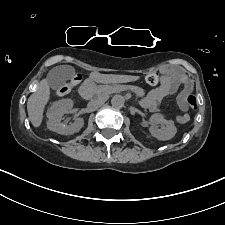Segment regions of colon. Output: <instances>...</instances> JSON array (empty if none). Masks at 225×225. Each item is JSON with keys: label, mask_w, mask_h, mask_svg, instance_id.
Segmentation results:
<instances>
[{"label": "colon", "mask_w": 225, "mask_h": 225, "mask_svg": "<svg viewBox=\"0 0 225 225\" xmlns=\"http://www.w3.org/2000/svg\"><path fill=\"white\" fill-rule=\"evenodd\" d=\"M163 76L158 73H150L145 77V81L150 85H156L163 81ZM78 83V78H75L72 83L68 86H63L60 90L62 94H65L70 91L72 87H74ZM188 106L191 110L195 111L198 108L197 99L195 96L190 95L187 99Z\"/></svg>", "instance_id": "obj_1"}]
</instances>
